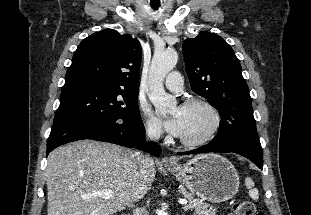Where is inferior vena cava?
I'll list each match as a JSON object with an SVG mask.
<instances>
[{
	"label": "inferior vena cava",
	"instance_id": "1",
	"mask_svg": "<svg viewBox=\"0 0 311 215\" xmlns=\"http://www.w3.org/2000/svg\"><path fill=\"white\" fill-rule=\"evenodd\" d=\"M160 135V131L152 126L147 127L146 129V138L148 140H156L158 136ZM133 160L136 161L138 165H144L148 162V159L141 153V152H134L131 156Z\"/></svg>",
	"mask_w": 311,
	"mask_h": 215
}]
</instances>
